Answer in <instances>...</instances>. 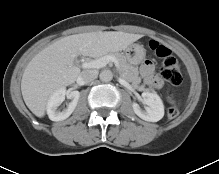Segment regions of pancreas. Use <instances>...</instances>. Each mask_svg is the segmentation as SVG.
<instances>
[{"label":"pancreas","instance_id":"cf45deb5","mask_svg":"<svg viewBox=\"0 0 219 174\" xmlns=\"http://www.w3.org/2000/svg\"><path fill=\"white\" fill-rule=\"evenodd\" d=\"M108 55L115 56L118 64L121 76L128 82L132 83L135 88L144 90V86H139L141 78L138 75V69L131 66L124 55L120 53H109ZM106 56V55H105Z\"/></svg>","mask_w":219,"mask_h":174}]
</instances>
